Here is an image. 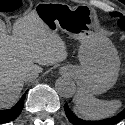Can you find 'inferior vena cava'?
<instances>
[{"label":"inferior vena cava","instance_id":"obj_1","mask_svg":"<svg viewBox=\"0 0 125 125\" xmlns=\"http://www.w3.org/2000/svg\"><path fill=\"white\" fill-rule=\"evenodd\" d=\"M37 77H38V72L36 71H28L22 76L24 81H31L36 79Z\"/></svg>","mask_w":125,"mask_h":125}]
</instances>
